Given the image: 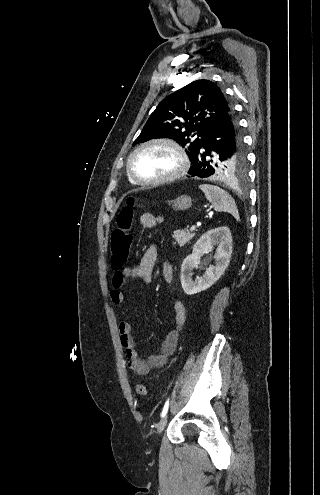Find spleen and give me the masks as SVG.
I'll list each match as a JSON object with an SVG mask.
<instances>
[{
  "instance_id": "1",
  "label": "spleen",
  "mask_w": 320,
  "mask_h": 495,
  "mask_svg": "<svg viewBox=\"0 0 320 495\" xmlns=\"http://www.w3.org/2000/svg\"><path fill=\"white\" fill-rule=\"evenodd\" d=\"M199 188L204 192L206 199L213 205L217 212L230 213L239 221V212L234 199L226 191L213 185H200Z\"/></svg>"
}]
</instances>
